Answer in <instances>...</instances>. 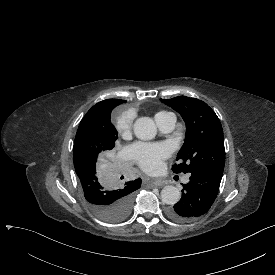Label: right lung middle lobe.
I'll use <instances>...</instances> for the list:
<instances>
[{"instance_id":"1","label":"right lung middle lobe","mask_w":275,"mask_h":275,"mask_svg":"<svg viewBox=\"0 0 275 275\" xmlns=\"http://www.w3.org/2000/svg\"><path fill=\"white\" fill-rule=\"evenodd\" d=\"M117 138L110 113L97 117L85 115L73 151L81 194L98 216L109 221L122 220L129 214L133 192L141 186V180L125 184L128 163Z\"/></svg>"}]
</instances>
